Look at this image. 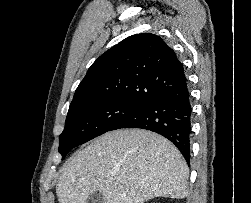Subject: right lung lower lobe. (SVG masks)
<instances>
[{
  "label": "right lung lower lobe",
  "instance_id": "1",
  "mask_svg": "<svg viewBox=\"0 0 251 203\" xmlns=\"http://www.w3.org/2000/svg\"><path fill=\"white\" fill-rule=\"evenodd\" d=\"M191 116L190 94L185 79L121 120L112 130L141 128L161 134L175 144L189 164Z\"/></svg>",
  "mask_w": 251,
  "mask_h": 203
}]
</instances>
